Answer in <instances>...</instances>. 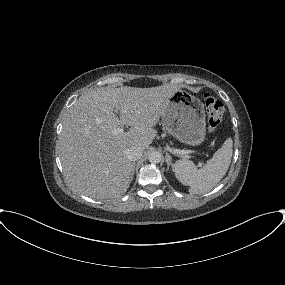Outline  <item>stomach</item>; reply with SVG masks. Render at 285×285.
Listing matches in <instances>:
<instances>
[{
	"instance_id": "0dacf381",
	"label": "stomach",
	"mask_w": 285,
	"mask_h": 285,
	"mask_svg": "<svg viewBox=\"0 0 285 285\" xmlns=\"http://www.w3.org/2000/svg\"><path fill=\"white\" fill-rule=\"evenodd\" d=\"M203 103L186 91L178 90L162 114V125L182 143L200 145L206 135Z\"/></svg>"
}]
</instances>
